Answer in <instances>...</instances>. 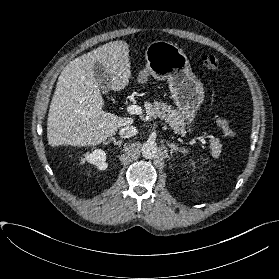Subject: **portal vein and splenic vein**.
Listing matches in <instances>:
<instances>
[{
    "label": "portal vein and splenic vein",
    "mask_w": 279,
    "mask_h": 279,
    "mask_svg": "<svg viewBox=\"0 0 279 279\" xmlns=\"http://www.w3.org/2000/svg\"><path fill=\"white\" fill-rule=\"evenodd\" d=\"M127 111L130 114H136V115H141L143 113L142 108L138 105H129L127 107ZM200 141L202 142L203 145H206V141L203 137L200 138Z\"/></svg>",
    "instance_id": "18ae733b"
}]
</instances>
